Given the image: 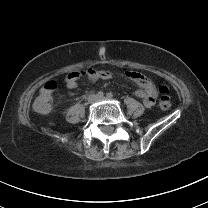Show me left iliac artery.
Here are the masks:
<instances>
[{
  "mask_svg": "<svg viewBox=\"0 0 208 208\" xmlns=\"http://www.w3.org/2000/svg\"><path fill=\"white\" fill-rule=\"evenodd\" d=\"M107 97L108 98H112L113 97V94L111 92L107 93Z\"/></svg>",
  "mask_w": 208,
  "mask_h": 208,
  "instance_id": "1",
  "label": "left iliac artery"
}]
</instances>
